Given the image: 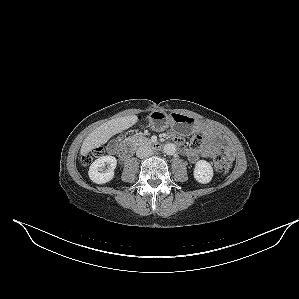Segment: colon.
<instances>
[{
  "label": "colon",
  "mask_w": 299,
  "mask_h": 299,
  "mask_svg": "<svg viewBox=\"0 0 299 299\" xmlns=\"http://www.w3.org/2000/svg\"><path fill=\"white\" fill-rule=\"evenodd\" d=\"M190 147L194 150L201 151L204 148L203 140L200 136H194L190 141ZM102 154L100 148L92 150V152L82 157V162L85 165L90 164L93 159ZM213 164L217 171L225 172L227 170V162L225 157L218 151L213 154Z\"/></svg>",
  "instance_id": "1"
}]
</instances>
